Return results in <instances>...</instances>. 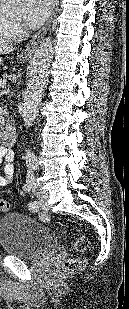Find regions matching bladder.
I'll return each mask as SVG.
<instances>
[{"mask_svg":"<svg viewBox=\"0 0 129 309\" xmlns=\"http://www.w3.org/2000/svg\"><path fill=\"white\" fill-rule=\"evenodd\" d=\"M57 245L55 232L28 215L11 213L0 219V246L8 255L32 259Z\"/></svg>","mask_w":129,"mask_h":309,"instance_id":"1","label":"bladder"}]
</instances>
